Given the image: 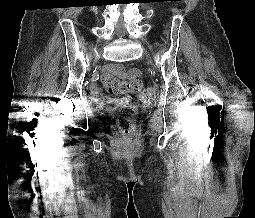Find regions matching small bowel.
I'll list each match as a JSON object with an SVG mask.
<instances>
[{
	"label": "small bowel",
	"mask_w": 255,
	"mask_h": 218,
	"mask_svg": "<svg viewBox=\"0 0 255 218\" xmlns=\"http://www.w3.org/2000/svg\"><path fill=\"white\" fill-rule=\"evenodd\" d=\"M103 77H113V78L134 80L140 77V71L136 68H131L127 70L120 64H109L105 67L103 71ZM92 94H93V98L96 101L101 99V94L96 87L93 88ZM123 101H125L124 98L111 100L110 102L118 104Z\"/></svg>",
	"instance_id": "small-bowel-1"
}]
</instances>
